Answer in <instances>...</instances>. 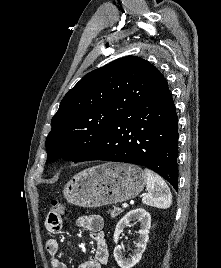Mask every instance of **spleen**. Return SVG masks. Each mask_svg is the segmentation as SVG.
Returning a JSON list of instances; mask_svg holds the SVG:
<instances>
[{
    "label": "spleen",
    "instance_id": "spleen-1",
    "mask_svg": "<svg viewBox=\"0 0 221 268\" xmlns=\"http://www.w3.org/2000/svg\"><path fill=\"white\" fill-rule=\"evenodd\" d=\"M148 192L142 198L145 205L167 209L171 206L172 195L166 182L150 169H145Z\"/></svg>",
    "mask_w": 221,
    "mask_h": 268
}]
</instances>
